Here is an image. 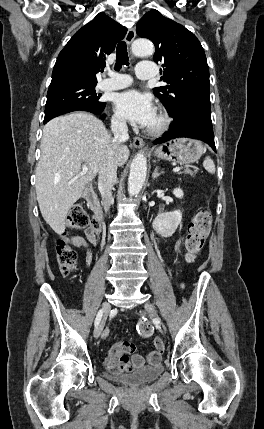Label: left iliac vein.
I'll return each instance as SVG.
<instances>
[{
	"instance_id": "4c4485c4",
	"label": "left iliac vein",
	"mask_w": 264,
	"mask_h": 429,
	"mask_svg": "<svg viewBox=\"0 0 264 429\" xmlns=\"http://www.w3.org/2000/svg\"><path fill=\"white\" fill-rule=\"evenodd\" d=\"M145 307L147 309H149L156 316V318L160 321V325H161V328L164 330V334L168 335L169 331L167 329V326L165 325L163 317L158 312H156V309L154 308L153 304L151 302L147 301L145 303Z\"/></svg>"
}]
</instances>
